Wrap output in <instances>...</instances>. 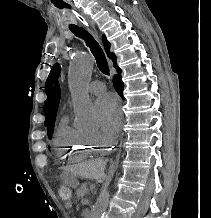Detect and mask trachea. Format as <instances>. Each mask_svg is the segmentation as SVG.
<instances>
[{"label":"trachea","mask_w":211,"mask_h":218,"mask_svg":"<svg viewBox=\"0 0 211 218\" xmlns=\"http://www.w3.org/2000/svg\"><path fill=\"white\" fill-rule=\"evenodd\" d=\"M72 33L78 38H81L86 43L87 47L90 48L91 53L94 55L97 67L103 75H110L109 66L106 60V56L100 47L99 43L95 40V38L91 35V33L87 32L85 28L78 27L77 25H73L69 27Z\"/></svg>","instance_id":"3493384b"}]
</instances>
